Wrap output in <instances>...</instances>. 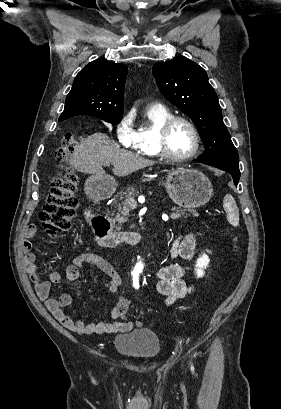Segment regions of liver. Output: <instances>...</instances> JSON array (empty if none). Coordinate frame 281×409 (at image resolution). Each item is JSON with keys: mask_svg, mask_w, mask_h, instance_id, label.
<instances>
[{"mask_svg": "<svg viewBox=\"0 0 281 409\" xmlns=\"http://www.w3.org/2000/svg\"><path fill=\"white\" fill-rule=\"evenodd\" d=\"M70 162L80 172H88L96 178H107L108 174L102 168V162L113 164L114 174L127 176L139 168L151 166L155 160H149L130 150H123L119 148V144L110 140L107 134L95 132L75 146Z\"/></svg>", "mask_w": 281, "mask_h": 409, "instance_id": "6515ba94", "label": "liver"}]
</instances>
